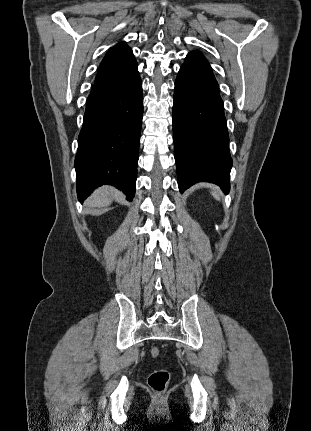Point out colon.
Returning a JSON list of instances; mask_svg holds the SVG:
<instances>
[{
  "label": "colon",
  "instance_id": "colon-1",
  "mask_svg": "<svg viewBox=\"0 0 311 431\" xmlns=\"http://www.w3.org/2000/svg\"><path fill=\"white\" fill-rule=\"evenodd\" d=\"M150 354L153 358H157L160 351L157 347H153ZM169 379L170 373L166 369H158L149 375L148 384L155 393L161 394L166 390Z\"/></svg>",
  "mask_w": 311,
  "mask_h": 431
}]
</instances>
